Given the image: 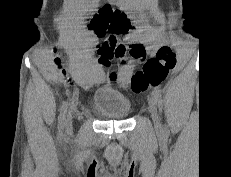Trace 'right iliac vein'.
<instances>
[{
  "mask_svg": "<svg viewBox=\"0 0 231 177\" xmlns=\"http://www.w3.org/2000/svg\"><path fill=\"white\" fill-rule=\"evenodd\" d=\"M72 118H73V108L69 111L67 115V122H66V128L67 130H70L72 127Z\"/></svg>",
  "mask_w": 231,
  "mask_h": 177,
  "instance_id": "1",
  "label": "right iliac vein"
}]
</instances>
